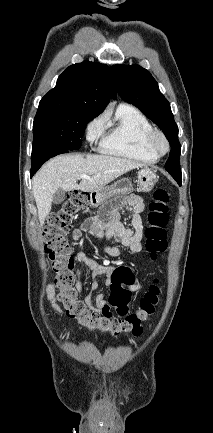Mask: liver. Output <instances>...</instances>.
<instances>
[{
	"label": "liver",
	"instance_id": "6515ba94",
	"mask_svg": "<svg viewBox=\"0 0 213 433\" xmlns=\"http://www.w3.org/2000/svg\"><path fill=\"white\" fill-rule=\"evenodd\" d=\"M143 166L130 159L108 155H60L49 160L32 179L40 226L51 211L53 195L58 189L94 192L124 173ZM82 174L90 178L77 184Z\"/></svg>",
	"mask_w": 213,
	"mask_h": 433
}]
</instances>
